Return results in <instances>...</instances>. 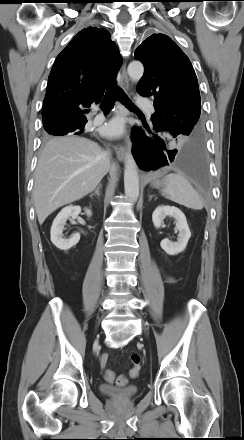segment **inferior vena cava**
I'll return each mask as SVG.
<instances>
[{"instance_id":"inferior-vena-cava-1","label":"inferior vena cava","mask_w":244,"mask_h":440,"mask_svg":"<svg viewBox=\"0 0 244 440\" xmlns=\"http://www.w3.org/2000/svg\"><path fill=\"white\" fill-rule=\"evenodd\" d=\"M104 157L107 159V161L109 162V157H110V152L109 151H105L104 152ZM110 163V162H109Z\"/></svg>"}]
</instances>
